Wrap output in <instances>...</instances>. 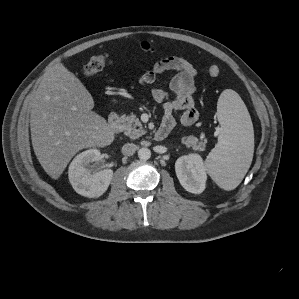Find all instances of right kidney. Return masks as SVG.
I'll return each instance as SVG.
<instances>
[{
	"label": "right kidney",
	"mask_w": 299,
	"mask_h": 299,
	"mask_svg": "<svg viewBox=\"0 0 299 299\" xmlns=\"http://www.w3.org/2000/svg\"><path fill=\"white\" fill-rule=\"evenodd\" d=\"M100 151L89 149L78 154L70 163L68 176L73 189L80 195L97 198L110 185L113 177L111 169L95 172L90 163L100 160Z\"/></svg>",
	"instance_id": "obj_1"
}]
</instances>
